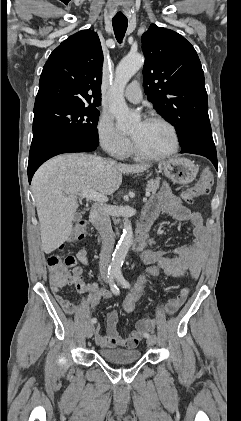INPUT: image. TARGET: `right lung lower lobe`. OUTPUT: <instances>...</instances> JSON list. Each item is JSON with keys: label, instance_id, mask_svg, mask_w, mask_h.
Returning a JSON list of instances; mask_svg holds the SVG:
<instances>
[{"label": "right lung lower lobe", "instance_id": "right-lung-lower-lobe-1", "mask_svg": "<svg viewBox=\"0 0 241 421\" xmlns=\"http://www.w3.org/2000/svg\"><path fill=\"white\" fill-rule=\"evenodd\" d=\"M96 148V145L73 138L50 139L31 145L28 162L29 183L35 171L51 157L62 153L91 152Z\"/></svg>", "mask_w": 241, "mask_h": 421}]
</instances>
